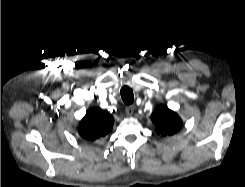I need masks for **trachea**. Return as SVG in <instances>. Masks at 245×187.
<instances>
[{
	"label": "trachea",
	"instance_id": "3493384b",
	"mask_svg": "<svg viewBox=\"0 0 245 187\" xmlns=\"http://www.w3.org/2000/svg\"><path fill=\"white\" fill-rule=\"evenodd\" d=\"M120 95L122 97L123 102L126 105H130L134 101V94L133 91L130 87L128 86H123L120 90Z\"/></svg>",
	"mask_w": 245,
	"mask_h": 187
}]
</instances>
